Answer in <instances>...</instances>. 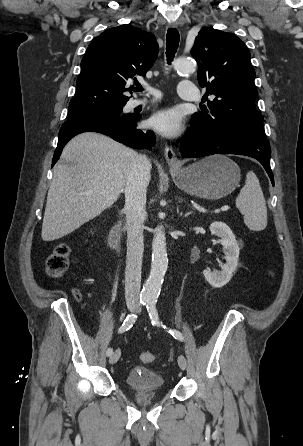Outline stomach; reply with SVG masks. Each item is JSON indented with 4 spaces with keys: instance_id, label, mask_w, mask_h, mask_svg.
Masks as SVG:
<instances>
[{
    "instance_id": "stomach-1",
    "label": "stomach",
    "mask_w": 303,
    "mask_h": 446,
    "mask_svg": "<svg viewBox=\"0 0 303 446\" xmlns=\"http://www.w3.org/2000/svg\"><path fill=\"white\" fill-rule=\"evenodd\" d=\"M176 186L206 199H220L232 193L240 181L239 166L223 155L201 159L184 168L171 167Z\"/></svg>"
}]
</instances>
